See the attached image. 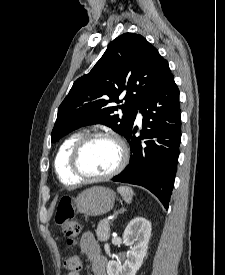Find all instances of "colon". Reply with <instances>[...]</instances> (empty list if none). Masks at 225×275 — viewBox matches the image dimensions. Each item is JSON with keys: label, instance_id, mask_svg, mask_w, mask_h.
Here are the masks:
<instances>
[{"label": "colon", "instance_id": "obj_1", "mask_svg": "<svg viewBox=\"0 0 225 275\" xmlns=\"http://www.w3.org/2000/svg\"><path fill=\"white\" fill-rule=\"evenodd\" d=\"M55 222L66 236L67 244L74 246L80 232V226L74 220V207L71 198H61L56 208ZM64 265L70 272H78L82 267L81 258L78 255H71L66 258Z\"/></svg>", "mask_w": 225, "mask_h": 275}]
</instances>
